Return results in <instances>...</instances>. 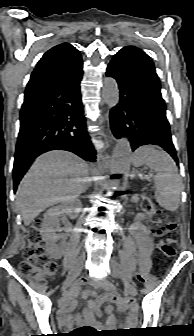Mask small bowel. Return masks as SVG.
Instances as JSON below:
<instances>
[{"instance_id": "small-bowel-1", "label": "small bowel", "mask_w": 194, "mask_h": 336, "mask_svg": "<svg viewBox=\"0 0 194 336\" xmlns=\"http://www.w3.org/2000/svg\"><path fill=\"white\" fill-rule=\"evenodd\" d=\"M131 232H132V235L138 247V255L136 258L137 265L143 273H146L150 270V267H151V258H150L151 251H152L151 239L149 237L146 227L140 222L133 223L131 227ZM97 289L99 290L103 289L105 290V293L95 296L93 300H90L88 303V307L85 309L83 313V316L82 317L78 316L75 319H73L69 315V310L74 308L76 305L75 294L77 291H75L74 293L66 297L62 302V310L60 314L61 322L66 326H70L73 323L79 324L83 320L86 323L92 324L94 323V315H95L96 309L100 305L106 302H109V301H115L119 303V301L122 300L120 296L118 295V293L116 292L114 286L110 283H107L104 281L99 282L97 283ZM93 295H94V292L91 290L85 291L82 294L84 298H87ZM106 312L108 314L109 321L115 322L116 317L113 314V307L108 306L106 308Z\"/></svg>"}]
</instances>
